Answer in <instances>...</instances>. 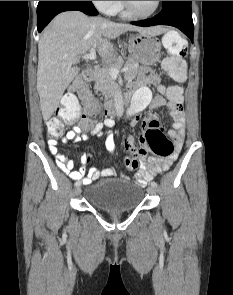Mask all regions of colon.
Listing matches in <instances>:
<instances>
[{
  "mask_svg": "<svg viewBox=\"0 0 233 295\" xmlns=\"http://www.w3.org/2000/svg\"><path fill=\"white\" fill-rule=\"evenodd\" d=\"M163 45L170 54L164 63V69L168 75L178 83L186 81V67L184 58L188 47L185 39L177 32L171 31L163 36ZM163 92L169 96L176 97L182 93L180 85L161 86ZM90 94L87 88V80L79 77L71 84L69 92L63 98V104L57 109L56 116L47 121V130L51 139L59 138L64 132V124L61 119L74 120L80 112L77 96L80 98ZM96 106H90L83 115V120L92 123L96 115ZM174 150V144L164 132L158 128H148L140 137L139 147L132 151L131 156L125 159V165L130 170H136L139 159L146 156L148 152L164 157L170 155Z\"/></svg>",
  "mask_w": 233,
  "mask_h": 295,
  "instance_id": "5ec220e1",
  "label": "colon"
}]
</instances>
